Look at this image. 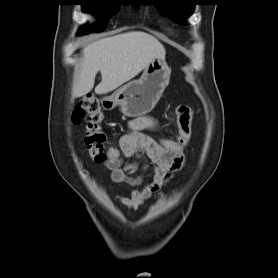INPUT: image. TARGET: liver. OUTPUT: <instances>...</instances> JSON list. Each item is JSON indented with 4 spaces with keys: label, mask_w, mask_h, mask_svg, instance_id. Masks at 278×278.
I'll return each mask as SVG.
<instances>
[{
    "label": "liver",
    "mask_w": 278,
    "mask_h": 278,
    "mask_svg": "<svg viewBox=\"0 0 278 278\" xmlns=\"http://www.w3.org/2000/svg\"><path fill=\"white\" fill-rule=\"evenodd\" d=\"M164 46L152 35L131 31L94 41L82 49L81 69L72 96L89 93L100 71L102 80L95 93H109L137 76L156 58H165Z\"/></svg>",
    "instance_id": "1"
}]
</instances>
